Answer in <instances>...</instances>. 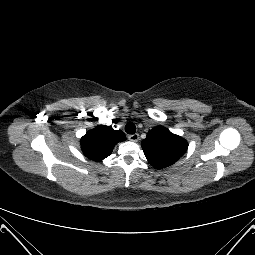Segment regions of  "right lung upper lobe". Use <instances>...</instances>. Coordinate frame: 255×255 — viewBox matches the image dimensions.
<instances>
[{"label":"right lung upper lobe","instance_id":"right-lung-upper-lobe-1","mask_svg":"<svg viewBox=\"0 0 255 255\" xmlns=\"http://www.w3.org/2000/svg\"><path fill=\"white\" fill-rule=\"evenodd\" d=\"M125 139L121 130H114L110 126H97L81 138L80 144L87 158L101 161L111 154L115 144Z\"/></svg>","mask_w":255,"mask_h":255}]
</instances>
